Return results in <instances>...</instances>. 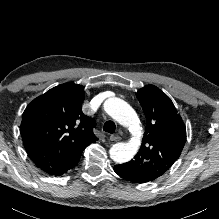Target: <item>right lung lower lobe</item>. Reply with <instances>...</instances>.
<instances>
[{
	"label": "right lung lower lobe",
	"mask_w": 219,
	"mask_h": 219,
	"mask_svg": "<svg viewBox=\"0 0 219 219\" xmlns=\"http://www.w3.org/2000/svg\"><path fill=\"white\" fill-rule=\"evenodd\" d=\"M77 164V163H76ZM76 164H73L69 167H66V168H63V169H60L58 171H55V172H52V173H48L50 175H54V176H61L63 175L64 173H67L70 169H72L73 167L76 166Z\"/></svg>",
	"instance_id": "obj_1"
}]
</instances>
